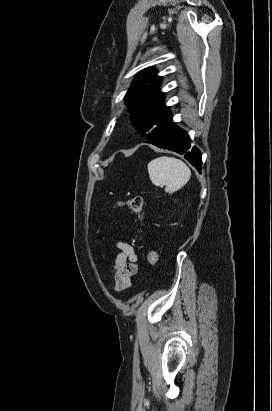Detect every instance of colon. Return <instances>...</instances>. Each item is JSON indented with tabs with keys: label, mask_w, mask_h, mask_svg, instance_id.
I'll use <instances>...</instances> for the list:
<instances>
[{
	"label": "colon",
	"mask_w": 272,
	"mask_h": 411,
	"mask_svg": "<svg viewBox=\"0 0 272 411\" xmlns=\"http://www.w3.org/2000/svg\"><path fill=\"white\" fill-rule=\"evenodd\" d=\"M119 205L131 209L138 218H142L144 200L141 196H135L127 199L126 201H121L119 202ZM147 260L153 266H156L159 263V257L155 251H149L147 253Z\"/></svg>",
	"instance_id": "1"
}]
</instances>
